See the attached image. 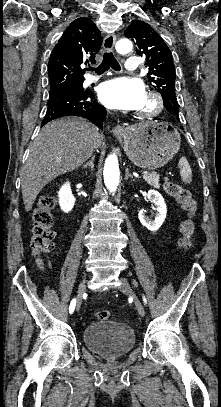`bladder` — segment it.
<instances>
[{"instance_id": "bladder-1", "label": "bladder", "mask_w": 221, "mask_h": 407, "mask_svg": "<svg viewBox=\"0 0 221 407\" xmlns=\"http://www.w3.org/2000/svg\"><path fill=\"white\" fill-rule=\"evenodd\" d=\"M86 347L106 358H117L129 353L135 344L132 327L121 323L100 322L88 325L83 331Z\"/></svg>"}]
</instances>
